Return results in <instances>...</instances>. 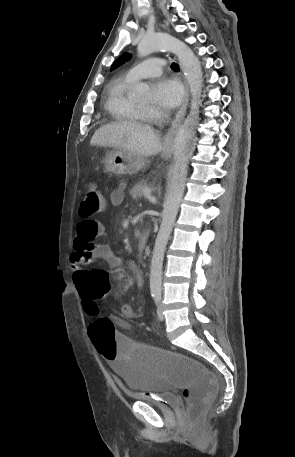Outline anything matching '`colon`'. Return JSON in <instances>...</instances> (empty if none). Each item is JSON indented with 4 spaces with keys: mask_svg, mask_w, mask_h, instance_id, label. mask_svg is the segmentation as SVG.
Returning <instances> with one entry per match:
<instances>
[{
    "mask_svg": "<svg viewBox=\"0 0 295 457\" xmlns=\"http://www.w3.org/2000/svg\"><path fill=\"white\" fill-rule=\"evenodd\" d=\"M106 208V200L96 182H90L80 203L79 213L90 217ZM110 293V274L105 270L87 271V285L82 287L86 311L96 316V300ZM90 338L96 355L113 363L128 362L139 366L140 372H160L166 383H176V390H183L189 420L197 419L217 390V374L204 369V363H197L191 357H182L181 351H165L164 346H137L129 341L127 330H115L114 323L104 317L97 318L90 326Z\"/></svg>",
    "mask_w": 295,
    "mask_h": 457,
    "instance_id": "colon-1",
    "label": "colon"
}]
</instances>
